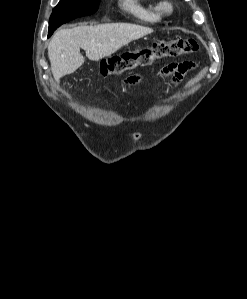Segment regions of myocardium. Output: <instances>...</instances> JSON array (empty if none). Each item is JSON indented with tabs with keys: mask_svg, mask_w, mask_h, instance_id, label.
Returning <instances> with one entry per match:
<instances>
[{
	"mask_svg": "<svg viewBox=\"0 0 247 299\" xmlns=\"http://www.w3.org/2000/svg\"><path fill=\"white\" fill-rule=\"evenodd\" d=\"M160 10L165 14H170L173 11V5L168 1H164L160 4Z\"/></svg>",
	"mask_w": 247,
	"mask_h": 299,
	"instance_id": "1",
	"label": "myocardium"
}]
</instances>
